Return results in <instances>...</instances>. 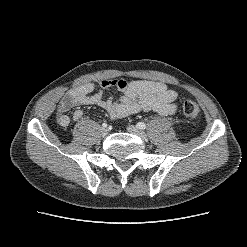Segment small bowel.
Wrapping results in <instances>:
<instances>
[{"instance_id":"c3829d8e","label":"small bowel","mask_w":247,"mask_h":247,"mask_svg":"<svg viewBox=\"0 0 247 247\" xmlns=\"http://www.w3.org/2000/svg\"><path fill=\"white\" fill-rule=\"evenodd\" d=\"M117 88L121 97L114 100L104 98V91ZM178 92L168 88L163 82L148 80L126 81L123 79L102 80L97 84L86 83L71 88L58 104V123L62 127L70 124L67 112L76 106L96 105L104 109L111 118H124L139 112H157L172 115L177 110ZM83 117V111L77 109L72 115L74 121Z\"/></svg>"}]
</instances>
